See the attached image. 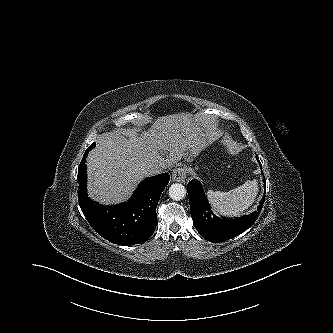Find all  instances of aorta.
Wrapping results in <instances>:
<instances>
[{"label":"aorta","mask_w":333,"mask_h":333,"mask_svg":"<svg viewBox=\"0 0 333 333\" xmlns=\"http://www.w3.org/2000/svg\"><path fill=\"white\" fill-rule=\"evenodd\" d=\"M169 195L171 199L179 201L185 197L186 189L182 184L174 183L169 188Z\"/></svg>","instance_id":"obj_1"}]
</instances>
